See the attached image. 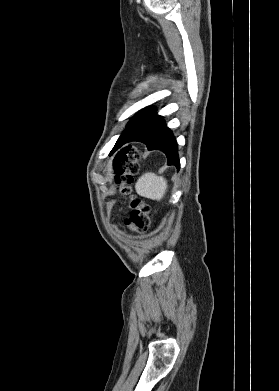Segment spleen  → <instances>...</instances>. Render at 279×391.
Here are the masks:
<instances>
[{
    "mask_svg": "<svg viewBox=\"0 0 279 391\" xmlns=\"http://www.w3.org/2000/svg\"><path fill=\"white\" fill-rule=\"evenodd\" d=\"M167 181L162 176L148 172L143 174L135 184L136 192L145 198L160 201L167 191Z\"/></svg>",
    "mask_w": 279,
    "mask_h": 391,
    "instance_id": "spleen-1",
    "label": "spleen"
}]
</instances>
